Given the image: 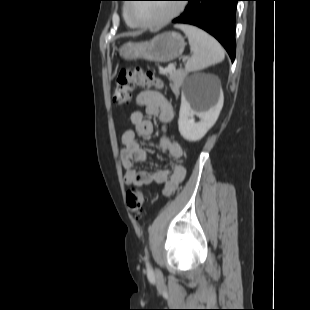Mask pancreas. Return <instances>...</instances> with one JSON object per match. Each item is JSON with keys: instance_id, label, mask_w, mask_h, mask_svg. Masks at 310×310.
Masks as SVG:
<instances>
[{"instance_id": "1", "label": "pancreas", "mask_w": 310, "mask_h": 310, "mask_svg": "<svg viewBox=\"0 0 310 310\" xmlns=\"http://www.w3.org/2000/svg\"><path fill=\"white\" fill-rule=\"evenodd\" d=\"M185 72L183 71H171L169 72V79L171 81L170 87L173 91V93L178 96L179 95V89L185 79Z\"/></svg>"}]
</instances>
